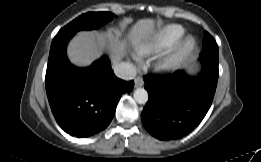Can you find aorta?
Masks as SVG:
<instances>
[{
  "label": "aorta",
  "instance_id": "1",
  "mask_svg": "<svg viewBox=\"0 0 261 162\" xmlns=\"http://www.w3.org/2000/svg\"><path fill=\"white\" fill-rule=\"evenodd\" d=\"M134 99L139 104H145L148 101V93L144 88H137L134 91Z\"/></svg>",
  "mask_w": 261,
  "mask_h": 162
}]
</instances>
